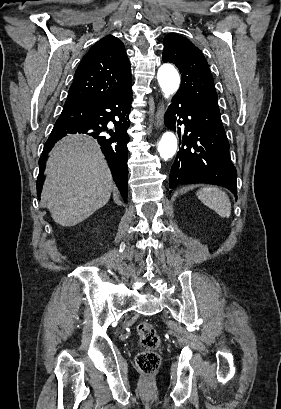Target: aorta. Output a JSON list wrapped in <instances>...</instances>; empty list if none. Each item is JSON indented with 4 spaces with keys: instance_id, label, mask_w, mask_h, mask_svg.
<instances>
[{
    "instance_id": "762f6f07",
    "label": "aorta",
    "mask_w": 281,
    "mask_h": 409,
    "mask_svg": "<svg viewBox=\"0 0 281 409\" xmlns=\"http://www.w3.org/2000/svg\"><path fill=\"white\" fill-rule=\"evenodd\" d=\"M157 79L165 98L177 92L180 85L178 71L170 64H163L157 74ZM177 150V139L174 133L165 132L158 144V152L164 160L173 157Z\"/></svg>"
}]
</instances>
